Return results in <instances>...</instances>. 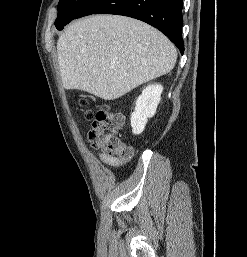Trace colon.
<instances>
[{"instance_id":"5ec220e1","label":"colon","mask_w":247,"mask_h":257,"mask_svg":"<svg viewBox=\"0 0 247 257\" xmlns=\"http://www.w3.org/2000/svg\"><path fill=\"white\" fill-rule=\"evenodd\" d=\"M81 104L85 105V101L81 100ZM86 114L92 119V128L88 138L93 148L109 156L124 159L132 156V148L122 143L118 135L124 123L121 112L104 106L95 113L87 111Z\"/></svg>"}]
</instances>
